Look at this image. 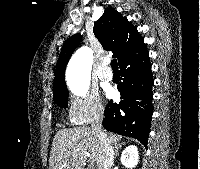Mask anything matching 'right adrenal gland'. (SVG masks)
<instances>
[{"label":"right adrenal gland","mask_w":200,"mask_h":169,"mask_svg":"<svg viewBox=\"0 0 200 169\" xmlns=\"http://www.w3.org/2000/svg\"><path fill=\"white\" fill-rule=\"evenodd\" d=\"M122 145H125V142L122 143V144H118V146L115 147V158H116L117 156H119V149L122 147Z\"/></svg>","instance_id":"obj_1"}]
</instances>
